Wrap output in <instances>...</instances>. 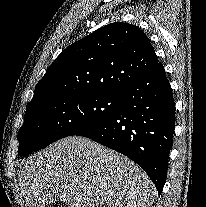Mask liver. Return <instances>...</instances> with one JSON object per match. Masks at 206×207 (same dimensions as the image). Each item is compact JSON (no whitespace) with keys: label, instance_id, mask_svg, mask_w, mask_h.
<instances>
[{"label":"liver","instance_id":"liver-1","mask_svg":"<svg viewBox=\"0 0 206 207\" xmlns=\"http://www.w3.org/2000/svg\"><path fill=\"white\" fill-rule=\"evenodd\" d=\"M28 207H150L155 186L127 157L81 136L58 140L30 156L19 173Z\"/></svg>","mask_w":206,"mask_h":207}]
</instances>
